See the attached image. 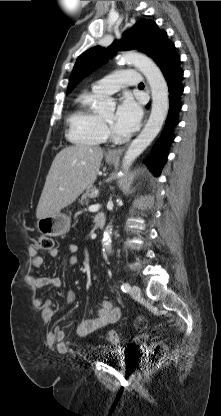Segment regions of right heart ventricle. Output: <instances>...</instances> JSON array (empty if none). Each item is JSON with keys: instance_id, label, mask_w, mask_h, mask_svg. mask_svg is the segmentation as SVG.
Wrapping results in <instances>:
<instances>
[{"instance_id": "1", "label": "right heart ventricle", "mask_w": 221, "mask_h": 416, "mask_svg": "<svg viewBox=\"0 0 221 416\" xmlns=\"http://www.w3.org/2000/svg\"><path fill=\"white\" fill-rule=\"evenodd\" d=\"M100 95L95 92L82 93L76 106L69 115L68 138L71 142L82 145H99L106 139L101 117L94 111L93 104Z\"/></svg>"}]
</instances>
